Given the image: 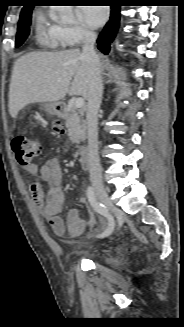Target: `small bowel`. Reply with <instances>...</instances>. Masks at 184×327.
Here are the masks:
<instances>
[{"mask_svg":"<svg viewBox=\"0 0 184 327\" xmlns=\"http://www.w3.org/2000/svg\"><path fill=\"white\" fill-rule=\"evenodd\" d=\"M37 134V133H36ZM25 171L30 175L39 174L42 181L47 185V191L39 182L30 185V193L33 204L41 210L55 234L69 235L70 237L80 236L86 227V221L82 219L79 212L72 209L64 220L60 214L66 206V196L61 187L63 172L59 161L56 158L48 159L40 169L35 163L25 166Z\"/></svg>","mask_w":184,"mask_h":327,"instance_id":"obj_1","label":"small bowel"}]
</instances>
